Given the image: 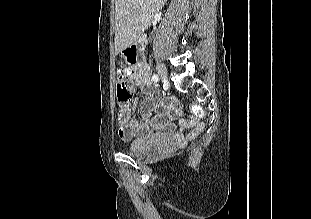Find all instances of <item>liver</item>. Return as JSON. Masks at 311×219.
<instances>
[{"label": "liver", "instance_id": "1", "mask_svg": "<svg viewBox=\"0 0 311 219\" xmlns=\"http://www.w3.org/2000/svg\"><path fill=\"white\" fill-rule=\"evenodd\" d=\"M167 0H115V54L135 43Z\"/></svg>", "mask_w": 311, "mask_h": 219}]
</instances>
